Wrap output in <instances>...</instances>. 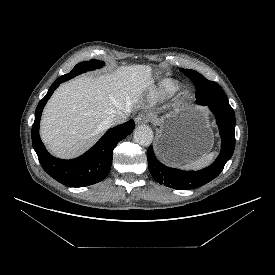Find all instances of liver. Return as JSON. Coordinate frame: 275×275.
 I'll use <instances>...</instances> for the list:
<instances>
[{
  "mask_svg": "<svg viewBox=\"0 0 275 275\" xmlns=\"http://www.w3.org/2000/svg\"><path fill=\"white\" fill-rule=\"evenodd\" d=\"M151 83L149 66L132 65L112 74L80 76L60 85L43 112V142L60 158L84 153L110 127L105 119L116 111H131Z\"/></svg>",
  "mask_w": 275,
  "mask_h": 275,
  "instance_id": "6515ba94",
  "label": "liver"
}]
</instances>
